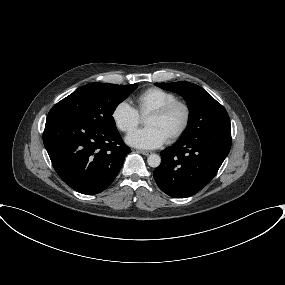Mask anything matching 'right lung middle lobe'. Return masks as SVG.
I'll use <instances>...</instances> for the list:
<instances>
[{
    "label": "right lung middle lobe",
    "mask_w": 285,
    "mask_h": 285,
    "mask_svg": "<svg viewBox=\"0 0 285 285\" xmlns=\"http://www.w3.org/2000/svg\"><path fill=\"white\" fill-rule=\"evenodd\" d=\"M137 87V84L90 83L58 102L50 111L70 114L99 130H116L112 114Z\"/></svg>",
    "instance_id": "dd1d6c3e"
}]
</instances>
